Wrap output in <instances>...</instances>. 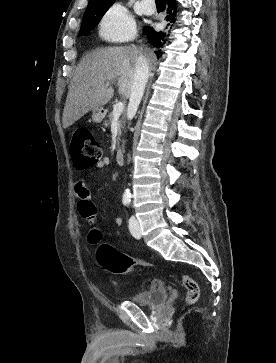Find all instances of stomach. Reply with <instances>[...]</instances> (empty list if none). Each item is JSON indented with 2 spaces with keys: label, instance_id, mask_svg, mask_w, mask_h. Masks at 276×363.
Returning a JSON list of instances; mask_svg holds the SVG:
<instances>
[{
  "label": "stomach",
  "instance_id": "obj_1",
  "mask_svg": "<svg viewBox=\"0 0 276 363\" xmlns=\"http://www.w3.org/2000/svg\"><path fill=\"white\" fill-rule=\"evenodd\" d=\"M106 115V110L99 107L92 111V120L95 123H101Z\"/></svg>",
  "mask_w": 276,
  "mask_h": 363
}]
</instances>
